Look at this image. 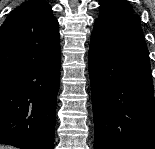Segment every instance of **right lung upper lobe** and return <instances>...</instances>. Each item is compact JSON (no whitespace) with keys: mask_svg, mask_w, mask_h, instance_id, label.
Masks as SVG:
<instances>
[{"mask_svg":"<svg viewBox=\"0 0 155 149\" xmlns=\"http://www.w3.org/2000/svg\"><path fill=\"white\" fill-rule=\"evenodd\" d=\"M60 34L51 6L27 1L0 28V75H15L60 56Z\"/></svg>","mask_w":155,"mask_h":149,"instance_id":"1","label":"right lung upper lobe"}]
</instances>
